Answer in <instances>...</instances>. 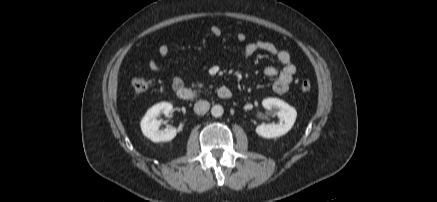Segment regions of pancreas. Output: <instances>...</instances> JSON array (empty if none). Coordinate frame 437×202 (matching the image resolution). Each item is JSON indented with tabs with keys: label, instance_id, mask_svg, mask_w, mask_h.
<instances>
[{
	"label": "pancreas",
	"instance_id": "obj_1",
	"mask_svg": "<svg viewBox=\"0 0 437 202\" xmlns=\"http://www.w3.org/2000/svg\"><path fill=\"white\" fill-rule=\"evenodd\" d=\"M192 86L193 87H197L198 86L199 88H202L203 85L201 83H199V84H193Z\"/></svg>",
	"mask_w": 437,
	"mask_h": 202
}]
</instances>
